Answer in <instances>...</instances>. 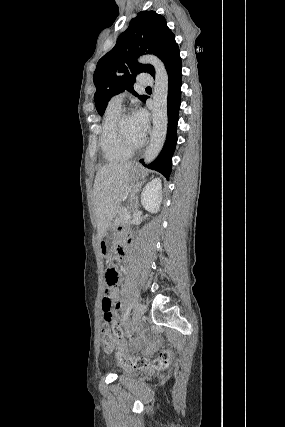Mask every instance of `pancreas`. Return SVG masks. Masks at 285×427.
Instances as JSON below:
<instances>
[{"mask_svg": "<svg viewBox=\"0 0 285 427\" xmlns=\"http://www.w3.org/2000/svg\"><path fill=\"white\" fill-rule=\"evenodd\" d=\"M130 208L129 207H127V208H125V207H121L120 209H119V211H118V215H117V217H116V219H115V225H119V224H125V223H129L130 222V218L129 219H124L123 218V216L126 214V213H128V214H130Z\"/></svg>", "mask_w": 285, "mask_h": 427, "instance_id": "1", "label": "pancreas"}]
</instances>
